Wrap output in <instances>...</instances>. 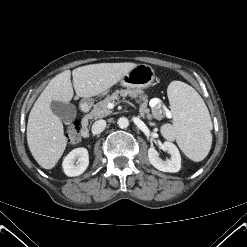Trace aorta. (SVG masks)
<instances>
[{"instance_id":"obj_1","label":"aorta","mask_w":247,"mask_h":247,"mask_svg":"<svg viewBox=\"0 0 247 247\" xmlns=\"http://www.w3.org/2000/svg\"><path fill=\"white\" fill-rule=\"evenodd\" d=\"M117 123L120 128H127L129 126V120L125 117L119 118Z\"/></svg>"}]
</instances>
